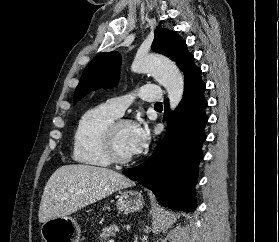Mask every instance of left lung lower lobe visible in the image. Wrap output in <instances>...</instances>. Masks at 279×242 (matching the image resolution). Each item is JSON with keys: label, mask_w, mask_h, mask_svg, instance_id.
Masks as SVG:
<instances>
[{"label": "left lung lower lobe", "mask_w": 279, "mask_h": 242, "mask_svg": "<svg viewBox=\"0 0 279 242\" xmlns=\"http://www.w3.org/2000/svg\"><path fill=\"white\" fill-rule=\"evenodd\" d=\"M184 94L170 114L168 101L165 115L168 130L154 153L144 163L123 170L131 180L149 188L165 206L185 212L196 209L194 186L198 178V165L206 140L205 115L207 101L204 98L205 84L201 69L194 64L191 55L183 64Z\"/></svg>", "instance_id": "obj_1"}]
</instances>
